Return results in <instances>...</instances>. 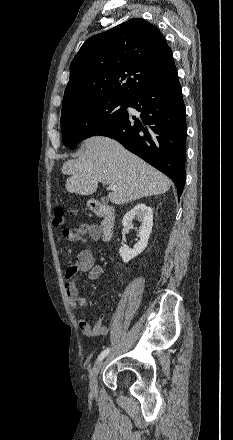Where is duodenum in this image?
Wrapping results in <instances>:
<instances>
[{
	"label": "duodenum",
	"instance_id": "obj_1",
	"mask_svg": "<svg viewBox=\"0 0 233 440\" xmlns=\"http://www.w3.org/2000/svg\"><path fill=\"white\" fill-rule=\"evenodd\" d=\"M93 210L97 216L102 218L99 229L101 239L103 241L111 240L114 234L116 221L114 210L101 202H95L93 204Z\"/></svg>",
	"mask_w": 233,
	"mask_h": 440
}]
</instances>
